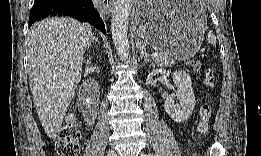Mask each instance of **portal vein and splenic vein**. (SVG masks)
<instances>
[{
	"label": "portal vein and splenic vein",
	"instance_id": "portal-vein-and-splenic-vein-1",
	"mask_svg": "<svg viewBox=\"0 0 261 156\" xmlns=\"http://www.w3.org/2000/svg\"><path fill=\"white\" fill-rule=\"evenodd\" d=\"M151 56H152L153 59H157L159 57V53L158 52H154V53H152Z\"/></svg>",
	"mask_w": 261,
	"mask_h": 156
}]
</instances>
